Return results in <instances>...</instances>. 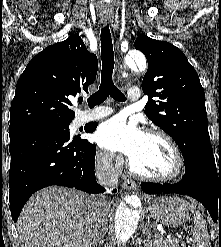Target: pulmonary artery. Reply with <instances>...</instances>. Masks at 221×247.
Instances as JSON below:
<instances>
[{"label":"pulmonary artery","instance_id":"e3ab8cb5","mask_svg":"<svg viewBox=\"0 0 221 247\" xmlns=\"http://www.w3.org/2000/svg\"><path fill=\"white\" fill-rule=\"evenodd\" d=\"M140 90L138 88H131L128 91V99L131 101H136L140 98ZM113 112L112 109L99 107L91 111H85L81 114V122L100 119L108 116Z\"/></svg>","mask_w":221,"mask_h":247}]
</instances>
